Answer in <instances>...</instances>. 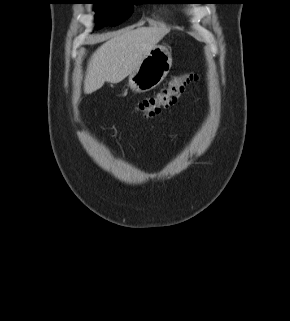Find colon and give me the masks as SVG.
Masks as SVG:
<instances>
[{"label":"colon","instance_id":"obj_1","mask_svg":"<svg viewBox=\"0 0 290 321\" xmlns=\"http://www.w3.org/2000/svg\"><path fill=\"white\" fill-rule=\"evenodd\" d=\"M197 80L198 76L192 72L184 73L176 77L156 96L146 98L139 102L136 106V111L144 117H154L158 115L162 109L173 106L185 90V87Z\"/></svg>","mask_w":290,"mask_h":321}]
</instances>
